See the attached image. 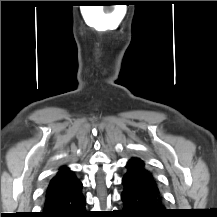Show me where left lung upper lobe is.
I'll return each mask as SVG.
<instances>
[{
	"label": "left lung upper lobe",
	"mask_w": 217,
	"mask_h": 217,
	"mask_svg": "<svg viewBox=\"0 0 217 217\" xmlns=\"http://www.w3.org/2000/svg\"><path fill=\"white\" fill-rule=\"evenodd\" d=\"M128 163H130L135 168L134 172H136L139 177L145 180L156 182L153 174L147 169H145V163L142 160H140L139 158H132Z\"/></svg>",
	"instance_id": "1"
}]
</instances>
